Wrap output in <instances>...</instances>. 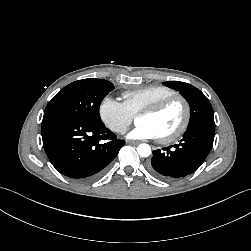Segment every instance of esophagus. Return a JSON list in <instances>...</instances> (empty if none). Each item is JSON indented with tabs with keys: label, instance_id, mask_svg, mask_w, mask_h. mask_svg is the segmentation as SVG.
I'll return each instance as SVG.
<instances>
[{
	"label": "esophagus",
	"instance_id": "1",
	"mask_svg": "<svg viewBox=\"0 0 251 251\" xmlns=\"http://www.w3.org/2000/svg\"><path fill=\"white\" fill-rule=\"evenodd\" d=\"M126 143L129 144V145H138L139 141H131V140H129V141H126Z\"/></svg>",
	"mask_w": 251,
	"mask_h": 251
}]
</instances>
